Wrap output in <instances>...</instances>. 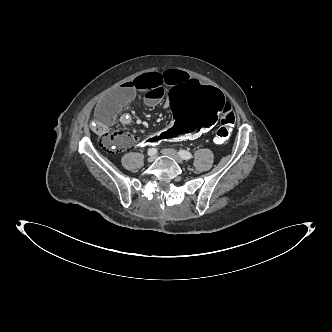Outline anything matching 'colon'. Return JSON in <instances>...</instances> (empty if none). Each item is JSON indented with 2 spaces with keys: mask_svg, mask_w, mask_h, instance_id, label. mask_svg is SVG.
Wrapping results in <instances>:
<instances>
[{
  "mask_svg": "<svg viewBox=\"0 0 332 332\" xmlns=\"http://www.w3.org/2000/svg\"><path fill=\"white\" fill-rule=\"evenodd\" d=\"M168 96L170 126L148 136L138 134L135 137L138 145L147 148L162 142L199 138L216 124L219 117L221 125L214 143L224 145L228 141L236 117L221 90L209 84L188 82L172 88ZM93 128L98 132L100 144L105 150L111 153L120 151L124 145L120 136L97 122L93 123Z\"/></svg>",
  "mask_w": 332,
  "mask_h": 332,
  "instance_id": "5ec220e1",
  "label": "colon"
}]
</instances>
